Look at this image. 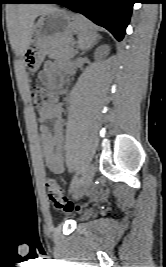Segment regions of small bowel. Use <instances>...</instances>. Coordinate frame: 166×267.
Masks as SVG:
<instances>
[{"label":"small bowel","instance_id":"c3829d8e","mask_svg":"<svg viewBox=\"0 0 166 267\" xmlns=\"http://www.w3.org/2000/svg\"><path fill=\"white\" fill-rule=\"evenodd\" d=\"M61 71L70 72L67 65L47 61L39 74L40 81L48 87L60 88L62 86ZM40 122V139L43 158L47 169L53 173L63 170L62 144H63V119L62 105L56 103L38 114ZM53 120V126L48 127L45 122Z\"/></svg>","mask_w":166,"mask_h":267}]
</instances>
